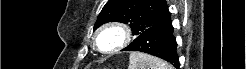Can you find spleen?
<instances>
[{
  "label": "spleen",
  "mask_w": 246,
  "mask_h": 69,
  "mask_svg": "<svg viewBox=\"0 0 246 69\" xmlns=\"http://www.w3.org/2000/svg\"><path fill=\"white\" fill-rule=\"evenodd\" d=\"M128 69H173L166 61L141 52H131Z\"/></svg>",
  "instance_id": "spleen-1"
}]
</instances>
